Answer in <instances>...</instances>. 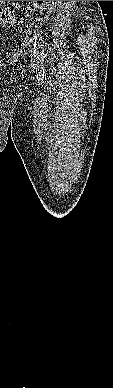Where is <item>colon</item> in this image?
Wrapping results in <instances>:
<instances>
[{"label": "colon", "mask_w": 113, "mask_h": 388, "mask_svg": "<svg viewBox=\"0 0 113 388\" xmlns=\"http://www.w3.org/2000/svg\"><path fill=\"white\" fill-rule=\"evenodd\" d=\"M45 1H31L30 4L23 11L24 16H30L32 13L40 9ZM18 5H14L11 8H5L0 10V23L4 26H12L21 23L24 19L18 17L14 9H17Z\"/></svg>", "instance_id": "5ec220e1"}]
</instances>
